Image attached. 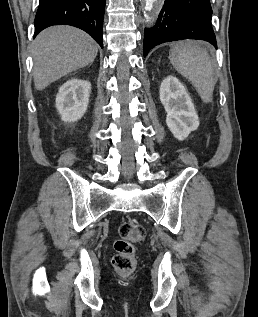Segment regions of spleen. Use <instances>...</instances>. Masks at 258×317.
Returning a JSON list of instances; mask_svg holds the SVG:
<instances>
[{
    "mask_svg": "<svg viewBox=\"0 0 258 317\" xmlns=\"http://www.w3.org/2000/svg\"><path fill=\"white\" fill-rule=\"evenodd\" d=\"M170 56L174 68L191 80L203 102H212L216 78L206 48L194 40H182L172 46Z\"/></svg>",
    "mask_w": 258,
    "mask_h": 317,
    "instance_id": "spleen-1",
    "label": "spleen"
}]
</instances>
